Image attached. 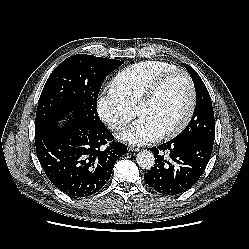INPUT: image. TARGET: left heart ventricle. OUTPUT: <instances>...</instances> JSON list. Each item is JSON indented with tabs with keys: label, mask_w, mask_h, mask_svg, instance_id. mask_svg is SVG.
Listing matches in <instances>:
<instances>
[{
	"label": "left heart ventricle",
	"mask_w": 249,
	"mask_h": 249,
	"mask_svg": "<svg viewBox=\"0 0 249 249\" xmlns=\"http://www.w3.org/2000/svg\"><path fill=\"white\" fill-rule=\"evenodd\" d=\"M188 103L187 83L182 76L177 75L162 86L151 102L141 106L138 114L154 121L164 133L181 121Z\"/></svg>",
	"instance_id": "b2bd125f"
}]
</instances>
